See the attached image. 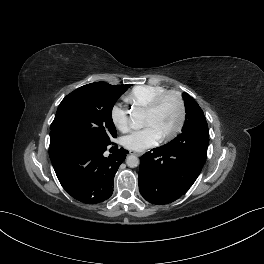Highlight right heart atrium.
I'll return each instance as SVG.
<instances>
[{
    "instance_id": "obj_1",
    "label": "right heart atrium",
    "mask_w": 264,
    "mask_h": 264,
    "mask_svg": "<svg viewBox=\"0 0 264 264\" xmlns=\"http://www.w3.org/2000/svg\"><path fill=\"white\" fill-rule=\"evenodd\" d=\"M111 121L115 128L121 132H125L129 128L128 112L120 105H115L111 109Z\"/></svg>"
}]
</instances>
